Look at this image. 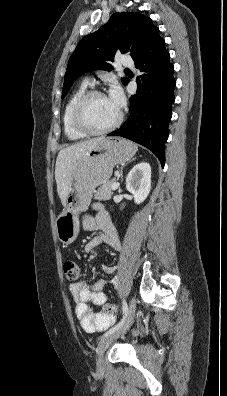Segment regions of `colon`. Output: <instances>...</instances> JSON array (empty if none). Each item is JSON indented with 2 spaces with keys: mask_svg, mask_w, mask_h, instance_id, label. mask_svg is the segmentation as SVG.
I'll list each match as a JSON object with an SVG mask.
<instances>
[{
  "mask_svg": "<svg viewBox=\"0 0 227 396\" xmlns=\"http://www.w3.org/2000/svg\"><path fill=\"white\" fill-rule=\"evenodd\" d=\"M65 277L70 282H76L79 279V268L75 261L66 260L63 265ZM117 310L115 304L106 303L102 306V312L106 314L114 313Z\"/></svg>",
  "mask_w": 227,
  "mask_h": 396,
  "instance_id": "colon-1",
  "label": "colon"
}]
</instances>
